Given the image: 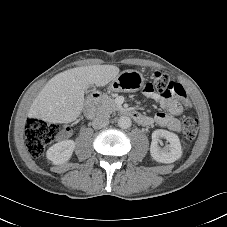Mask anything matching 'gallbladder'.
I'll return each instance as SVG.
<instances>
[{"label":"gallbladder","mask_w":227,"mask_h":227,"mask_svg":"<svg viewBox=\"0 0 227 227\" xmlns=\"http://www.w3.org/2000/svg\"><path fill=\"white\" fill-rule=\"evenodd\" d=\"M95 86H93V85H90V86H88L87 88H86V93H88V92H93V91H95Z\"/></svg>","instance_id":"gallbladder-1"}]
</instances>
